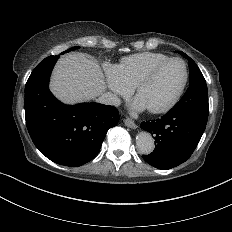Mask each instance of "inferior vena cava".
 Returning a JSON list of instances; mask_svg holds the SVG:
<instances>
[{"mask_svg": "<svg viewBox=\"0 0 232 232\" xmlns=\"http://www.w3.org/2000/svg\"><path fill=\"white\" fill-rule=\"evenodd\" d=\"M98 100L103 104L112 105V106H119L121 104L120 97L111 92L103 93Z\"/></svg>", "mask_w": 232, "mask_h": 232, "instance_id": "obj_1", "label": "inferior vena cava"}]
</instances>
